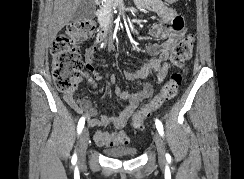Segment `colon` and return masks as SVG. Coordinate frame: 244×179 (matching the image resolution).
Here are the masks:
<instances>
[{
    "label": "colon",
    "instance_id": "colon-1",
    "mask_svg": "<svg viewBox=\"0 0 244 179\" xmlns=\"http://www.w3.org/2000/svg\"><path fill=\"white\" fill-rule=\"evenodd\" d=\"M166 1L167 3H175L176 0ZM94 28V23L91 20L71 23L53 43L51 48L52 74L56 86L61 92H73L77 88L83 73H86L91 79L98 78L92 72H85L86 64L80 55L79 45L76 43L80 38L89 37L94 32ZM193 46L194 37L189 34L186 35L174 46L171 64L175 67L182 66L191 58ZM180 84L181 76L174 74L153 98L133 114L131 118L132 126L136 130L143 129L145 121L152 113L175 97Z\"/></svg>",
    "mask_w": 244,
    "mask_h": 179
}]
</instances>
